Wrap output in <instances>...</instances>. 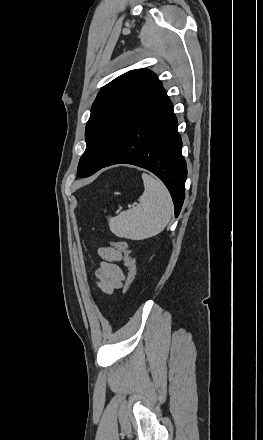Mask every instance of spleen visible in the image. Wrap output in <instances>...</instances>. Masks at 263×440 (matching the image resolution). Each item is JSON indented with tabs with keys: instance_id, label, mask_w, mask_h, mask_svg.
<instances>
[{
	"instance_id": "3e777b00",
	"label": "spleen",
	"mask_w": 263,
	"mask_h": 440,
	"mask_svg": "<svg viewBox=\"0 0 263 440\" xmlns=\"http://www.w3.org/2000/svg\"><path fill=\"white\" fill-rule=\"evenodd\" d=\"M142 179L145 190L139 203L115 217H107L111 232L118 237L142 240L155 236L171 218L173 202L165 185L146 173Z\"/></svg>"
}]
</instances>
